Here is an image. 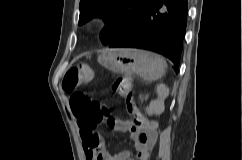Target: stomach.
I'll list each match as a JSON object with an SVG mask.
<instances>
[{"mask_svg": "<svg viewBox=\"0 0 242 160\" xmlns=\"http://www.w3.org/2000/svg\"><path fill=\"white\" fill-rule=\"evenodd\" d=\"M98 62L115 73H136L146 81L154 80L160 68L154 53L133 48L108 49L98 57Z\"/></svg>", "mask_w": 242, "mask_h": 160, "instance_id": "1", "label": "stomach"}]
</instances>
